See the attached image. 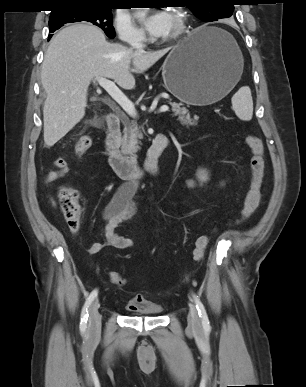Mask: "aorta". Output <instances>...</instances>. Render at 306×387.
<instances>
[{"label":"aorta","mask_w":306,"mask_h":387,"mask_svg":"<svg viewBox=\"0 0 306 387\" xmlns=\"http://www.w3.org/2000/svg\"><path fill=\"white\" fill-rule=\"evenodd\" d=\"M137 9H139V10L137 11V15H139V16H144V15L146 14L145 8H137Z\"/></svg>","instance_id":"1"}]
</instances>
